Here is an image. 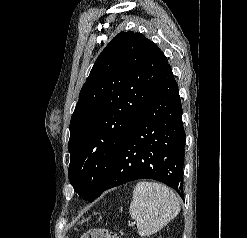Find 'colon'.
Returning a JSON list of instances; mask_svg holds the SVG:
<instances>
[{"label": "colon", "instance_id": "5ec220e1", "mask_svg": "<svg viewBox=\"0 0 247 238\" xmlns=\"http://www.w3.org/2000/svg\"><path fill=\"white\" fill-rule=\"evenodd\" d=\"M81 238H119L118 235L106 228H94L85 232Z\"/></svg>", "mask_w": 247, "mask_h": 238}]
</instances>
